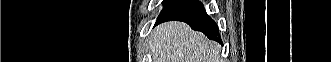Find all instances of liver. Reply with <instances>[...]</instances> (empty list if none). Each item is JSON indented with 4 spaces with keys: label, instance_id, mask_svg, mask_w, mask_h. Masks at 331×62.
Returning <instances> with one entry per match:
<instances>
[{
    "label": "liver",
    "instance_id": "liver-1",
    "mask_svg": "<svg viewBox=\"0 0 331 62\" xmlns=\"http://www.w3.org/2000/svg\"><path fill=\"white\" fill-rule=\"evenodd\" d=\"M153 62H219L221 46L183 22H167L152 34Z\"/></svg>",
    "mask_w": 331,
    "mask_h": 62
}]
</instances>
